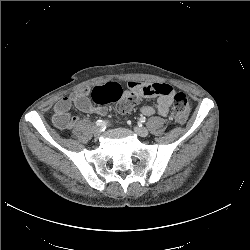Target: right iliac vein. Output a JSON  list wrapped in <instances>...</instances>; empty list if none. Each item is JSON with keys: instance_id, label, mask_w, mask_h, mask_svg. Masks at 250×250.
<instances>
[{"instance_id": "right-iliac-vein-1", "label": "right iliac vein", "mask_w": 250, "mask_h": 250, "mask_svg": "<svg viewBox=\"0 0 250 250\" xmlns=\"http://www.w3.org/2000/svg\"><path fill=\"white\" fill-rule=\"evenodd\" d=\"M92 131H93V134H94L95 137H99V135H100V133H101V129H100L99 127L94 126V127L92 128Z\"/></svg>"}]
</instances>
